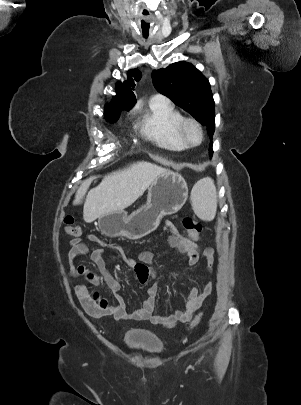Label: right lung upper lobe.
<instances>
[{"mask_svg": "<svg viewBox=\"0 0 301 405\" xmlns=\"http://www.w3.org/2000/svg\"><path fill=\"white\" fill-rule=\"evenodd\" d=\"M127 80L123 83H118L116 87L117 94L113 96L111 105H106L105 113H113L119 110H130L136 103V98L132 90H134V81H139L141 78L140 71L136 69L129 70Z\"/></svg>", "mask_w": 301, "mask_h": 405, "instance_id": "cb5924a9", "label": "right lung upper lobe"}]
</instances>
